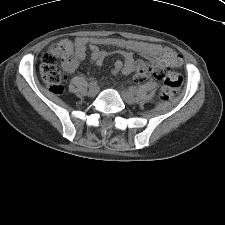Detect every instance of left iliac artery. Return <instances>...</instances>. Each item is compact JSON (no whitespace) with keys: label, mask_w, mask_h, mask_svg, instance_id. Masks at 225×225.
Segmentation results:
<instances>
[{"label":"left iliac artery","mask_w":225,"mask_h":225,"mask_svg":"<svg viewBox=\"0 0 225 225\" xmlns=\"http://www.w3.org/2000/svg\"><path fill=\"white\" fill-rule=\"evenodd\" d=\"M130 91L131 93L136 94L137 89L136 87H130Z\"/></svg>","instance_id":"44dca946"}]
</instances>
